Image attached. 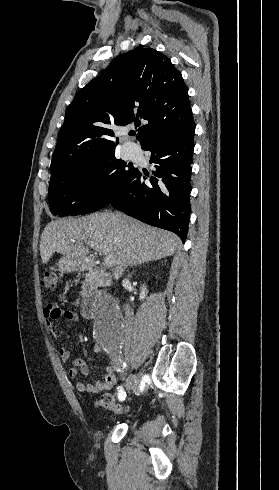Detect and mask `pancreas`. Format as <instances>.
Returning a JSON list of instances; mask_svg holds the SVG:
<instances>
[{"instance_id":"cf45deb5","label":"pancreas","mask_w":279,"mask_h":490,"mask_svg":"<svg viewBox=\"0 0 279 490\" xmlns=\"http://www.w3.org/2000/svg\"><path fill=\"white\" fill-rule=\"evenodd\" d=\"M107 274L105 270H89L84 282H82V296H90L99 286H105L107 282Z\"/></svg>"}]
</instances>
